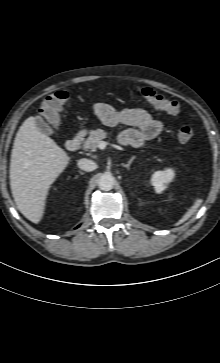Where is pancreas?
Segmentation results:
<instances>
[{"label": "pancreas", "instance_id": "cf45deb5", "mask_svg": "<svg viewBox=\"0 0 220 363\" xmlns=\"http://www.w3.org/2000/svg\"><path fill=\"white\" fill-rule=\"evenodd\" d=\"M108 133L102 129L92 131L89 137L85 140L83 148L85 150L96 151L100 141L107 137Z\"/></svg>", "mask_w": 220, "mask_h": 363}]
</instances>
